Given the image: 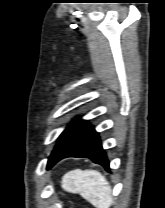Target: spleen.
<instances>
[{
  "label": "spleen",
  "mask_w": 165,
  "mask_h": 208,
  "mask_svg": "<svg viewBox=\"0 0 165 208\" xmlns=\"http://www.w3.org/2000/svg\"><path fill=\"white\" fill-rule=\"evenodd\" d=\"M61 186L66 192L80 194L96 208H109L112 203L111 186L99 171H69L63 176Z\"/></svg>",
  "instance_id": "obj_1"
}]
</instances>
